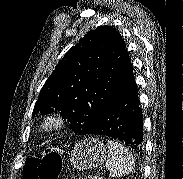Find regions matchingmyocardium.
<instances>
[{
	"mask_svg": "<svg viewBox=\"0 0 183 179\" xmlns=\"http://www.w3.org/2000/svg\"><path fill=\"white\" fill-rule=\"evenodd\" d=\"M65 123L64 117L59 113H51L45 116L42 127L51 131L60 128Z\"/></svg>",
	"mask_w": 183,
	"mask_h": 179,
	"instance_id": "1",
	"label": "myocardium"
}]
</instances>
